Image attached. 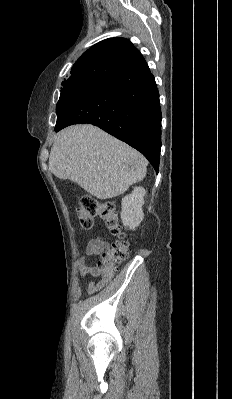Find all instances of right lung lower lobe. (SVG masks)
Wrapping results in <instances>:
<instances>
[{
  "instance_id": "right-lung-lower-lobe-1",
  "label": "right lung lower lobe",
  "mask_w": 232,
  "mask_h": 399,
  "mask_svg": "<svg viewBox=\"0 0 232 399\" xmlns=\"http://www.w3.org/2000/svg\"><path fill=\"white\" fill-rule=\"evenodd\" d=\"M85 123L98 126L140 151L158 172L161 109L155 79L145 60L63 105L55 131Z\"/></svg>"
}]
</instances>
